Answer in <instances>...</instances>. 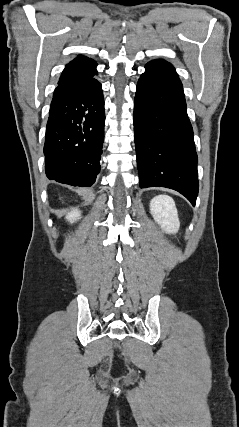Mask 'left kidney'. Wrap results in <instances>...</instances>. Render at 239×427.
<instances>
[{"mask_svg":"<svg viewBox=\"0 0 239 427\" xmlns=\"http://www.w3.org/2000/svg\"><path fill=\"white\" fill-rule=\"evenodd\" d=\"M150 213L167 233H176L180 227L174 200L166 195H158L150 202Z\"/></svg>","mask_w":239,"mask_h":427,"instance_id":"left-kidney-1","label":"left kidney"}]
</instances>
